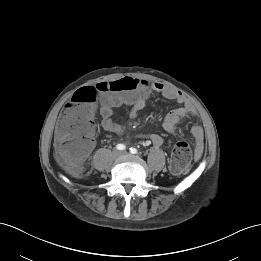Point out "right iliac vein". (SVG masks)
Segmentation results:
<instances>
[{
    "instance_id": "63e3f726",
    "label": "right iliac vein",
    "mask_w": 261,
    "mask_h": 261,
    "mask_svg": "<svg viewBox=\"0 0 261 261\" xmlns=\"http://www.w3.org/2000/svg\"><path fill=\"white\" fill-rule=\"evenodd\" d=\"M119 155H120V153L118 151H114L113 152V157L114 158H117Z\"/></svg>"
}]
</instances>
